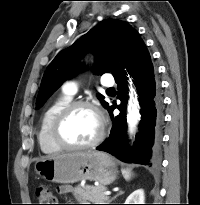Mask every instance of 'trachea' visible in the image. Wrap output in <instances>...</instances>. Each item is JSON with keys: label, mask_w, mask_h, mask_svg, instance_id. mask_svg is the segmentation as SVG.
<instances>
[{"label": "trachea", "mask_w": 200, "mask_h": 205, "mask_svg": "<svg viewBox=\"0 0 200 205\" xmlns=\"http://www.w3.org/2000/svg\"><path fill=\"white\" fill-rule=\"evenodd\" d=\"M108 91H112L113 90V88H109V89H107Z\"/></svg>", "instance_id": "obj_1"}]
</instances>
